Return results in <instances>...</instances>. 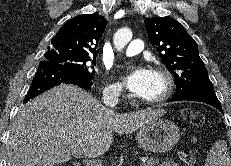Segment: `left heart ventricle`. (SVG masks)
Listing matches in <instances>:
<instances>
[{"mask_svg": "<svg viewBox=\"0 0 231 166\" xmlns=\"http://www.w3.org/2000/svg\"><path fill=\"white\" fill-rule=\"evenodd\" d=\"M162 89V80L161 78L156 75L155 73H152V79L151 84L148 92L146 93L143 98H152L159 94V92Z\"/></svg>", "mask_w": 231, "mask_h": 166, "instance_id": "obj_1", "label": "left heart ventricle"}]
</instances>
